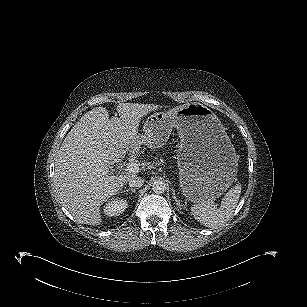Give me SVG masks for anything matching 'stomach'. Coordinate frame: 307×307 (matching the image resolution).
I'll list each match as a JSON object with an SVG mask.
<instances>
[{
  "label": "stomach",
  "mask_w": 307,
  "mask_h": 307,
  "mask_svg": "<svg viewBox=\"0 0 307 307\" xmlns=\"http://www.w3.org/2000/svg\"><path fill=\"white\" fill-rule=\"evenodd\" d=\"M173 128L180 136L177 161L183 194L192 202L222 195L234 179L237 157L218 117L197 102L155 112L144 124L147 146L163 145Z\"/></svg>",
  "instance_id": "obj_1"
}]
</instances>
